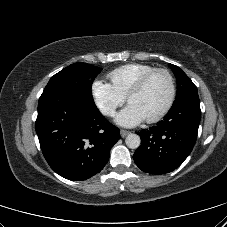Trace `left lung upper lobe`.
I'll return each mask as SVG.
<instances>
[{"instance_id":"left-lung-upper-lobe-1","label":"left lung upper lobe","mask_w":227,"mask_h":227,"mask_svg":"<svg viewBox=\"0 0 227 227\" xmlns=\"http://www.w3.org/2000/svg\"><path fill=\"white\" fill-rule=\"evenodd\" d=\"M169 66L173 70L177 79V96L175 101L188 94L198 93L197 87L193 84L191 79L183 72L181 68L170 63Z\"/></svg>"}]
</instances>
